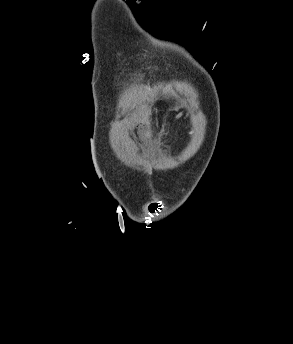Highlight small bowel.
Returning <instances> with one entry per match:
<instances>
[{
  "label": "small bowel",
  "mask_w": 293,
  "mask_h": 344,
  "mask_svg": "<svg viewBox=\"0 0 293 344\" xmlns=\"http://www.w3.org/2000/svg\"><path fill=\"white\" fill-rule=\"evenodd\" d=\"M142 138H143V142L146 145H150L152 140H151V132L149 130L144 131V133L142 134Z\"/></svg>",
  "instance_id": "small-bowel-1"
}]
</instances>
